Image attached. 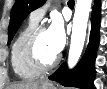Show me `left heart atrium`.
Segmentation results:
<instances>
[{"label": "left heart atrium", "instance_id": "obj_1", "mask_svg": "<svg viewBox=\"0 0 107 89\" xmlns=\"http://www.w3.org/2000/svg\"><path fill=\"white\" fill-rule=\"evenodd\" d=\"M47 31L54 50L57 53L61 52L66 42V35L62 19L60 17L54 18Z\"/></svg>", "mask_w": 107, "mask_h": 89}]
</instances>
